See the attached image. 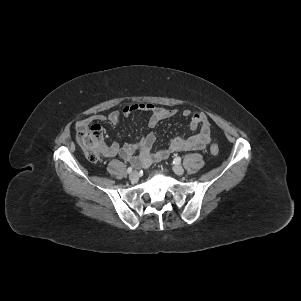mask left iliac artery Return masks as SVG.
<instances>
[{
  "instance_id": "obj_1",
  "label": "left iliac artery",
  "mask_w": 301,
  "mask_h": 301,
  "mask_svg": "<svg viewBox=\"0 0 301 301\" xmlns=\"http://www.w3.org/2000/svg\"><path fill=\"white\" fill-rule=\"evenodd\" d=\"M181 162V158L180 157H176L173 161V163L175 164H179Z\"/></svg>"
}]
</instances>
